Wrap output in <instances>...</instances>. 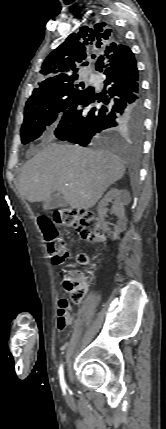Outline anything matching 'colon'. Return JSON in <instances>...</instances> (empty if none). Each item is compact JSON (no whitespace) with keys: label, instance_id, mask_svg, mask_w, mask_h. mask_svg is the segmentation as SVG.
I'll return each mask as SVG.
<instances>
[{"label":"colon","instance_id":"obj_1","mask_svg":"<svg viewBox=\"0 0 166 429\" xmlns=\"http://www.w3.org/2000/svg\"><path fill=\"white\" fill-rule=\"evenodd\" d=\"M39 225L43 232L48 252L53 263L61 264L68 257V249L61 238L56 225L74 228L82 239L91 243L104 240V234L97 216L88 210L75 208H61L54 213L53 219L40 217ZM80 263H86L87 257L78 256ZM63 289L72 301L80 302L87 292L86 284L80 272H71L63 280Z\"/></svg>","mask_w":166,"mask_h":429}]
</instances>
